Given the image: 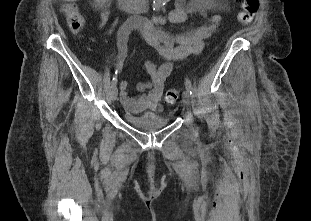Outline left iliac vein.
Segmentation results:
<instances>
[{
    "mask_svg": "<svg viewBox=\"0 0 311 221\" xmlns=\"http://www.w3.org/2000/svg\"><path fill=\"white\" fill-rule=\"evenodd\" d=\"M182 100L184 105L187 107V109L189 110L190 108V104H191V97L188 91H184L182 94Z\"/></svg>",
    "mask_w": 311,
    "mask_h": 221,
    "instance_id": "obj_1",
    "label": "left iliac vein"
}]
</instances>
